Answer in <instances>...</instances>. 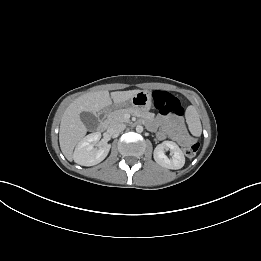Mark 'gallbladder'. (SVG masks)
<instances>
[{"label": "gallbladder", "mask_w": 261, "mask_h": 261, "mask_svg": "<svg viewBox=\"0 0 261 261\" xmlns=\"http://www.w3.org/2000/svg\"><path fill=\"white\" fill-rule=\"evenodd\" d=\"M81 121L88 130H96L98 127V118L91 112H82L80 114Z\"/></svg>", "instance_id": "bac80fb5"}]
</instances>
